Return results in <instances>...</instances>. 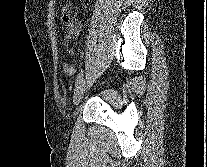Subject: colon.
Instances as JSON below:
<instances>
[{"mask_svg":"<svg viewBox=\"0 0 207 167\" xmlns=\"http://www.w3.org/2000/svg\"><path fill=\"white\" fill-rule=\"evenodd\" d=\"M60 24L65 29L70 30L72 27L71 15L67 8H64L60 14Z\"/></svg>","mask_w":207,"mask_h":167,"instance_id":"1","label":"colon"}]
</instances>
